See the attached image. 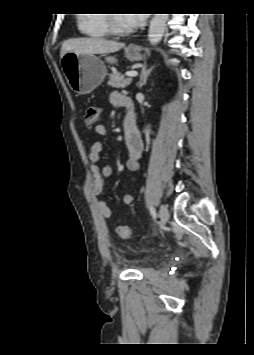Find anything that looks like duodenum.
I'll return each mask as SVG.
<instances>
[{
    "label": "duodenum",
    "instance_id": "410a0bca",
    "mask_svg": "<svg viewBox=\"0 0 254 355\" xmlns=\"http://www.w3.org/2000/svg\"><path fill=\"white\" fill-rule=\"evenodd\" d=\"M125 127L128 131H131L133 128L136 127V120L133 117H128L125 122Z\"/></svg>",
    "mask_w": 254,
    "mask_h": 355
}]
</instances>
